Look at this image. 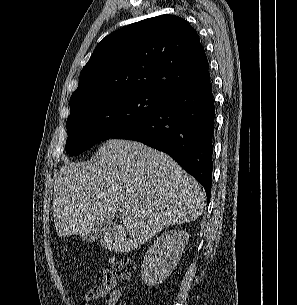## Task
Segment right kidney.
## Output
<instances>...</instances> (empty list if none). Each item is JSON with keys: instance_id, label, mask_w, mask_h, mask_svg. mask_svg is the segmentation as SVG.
Here are the masks:
<instances>
[{"instance_id": "obj_1", "label": "right kidney", "mask_w": 297, "mask_h": 305, "mask_svg": "<svg viewBox=\"0 0 297 305\" xmlns=\"http://www.w3.org/2000/svg\"><path fill=\"white\" fill-rule=\"evenodd\" d=\"M189 241L185 231L164 232L154 241L144 256L141 279L148 286L161 284L180 260L183 248Z\"/></svg>"}]
</instances>
